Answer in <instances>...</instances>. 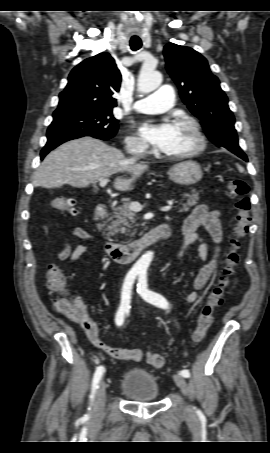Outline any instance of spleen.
Masks as SVG:
<instances>
[{
    "instance_id": "obj_1",
    "label": "spleen",
    "mask_w": 270,
    "mask_h": 453,
    "mask_svg": "<svg viewBox=\"0 0 270 453\" xmlns=\"http://www.w3.org/2000/svg\"><path fill=\"white\" fill-rule=\"evenodd\" d=\"M238 170H239L240 172H244V169H243L241 166H239V165H238Z\"/></svg>"
}]
</instances>
